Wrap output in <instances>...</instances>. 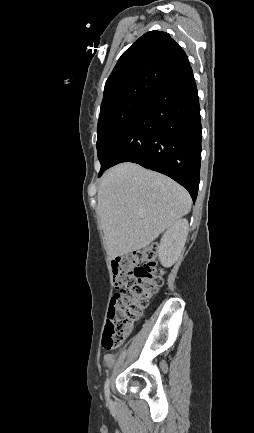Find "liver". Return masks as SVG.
Instances as JSON below:
<instances>
[{
	"instance_id": "obj_1",
	"label": "liver",
	"mask_w": 254,
	"mask_h": 433,
	"mask_svg": "<svg viewBox=\"0 0 254 433\" xmlns=\"http://www.w3.org/2000/svg\"><path fill=\"white\" fill-rule=\"evenodd\" d=\"M189 193L172 179L122 163L101 180L97 212L111 259L148 246L191 209Z\"/></svg>"
}]
</instances>
